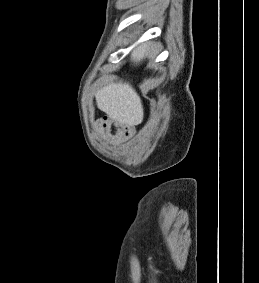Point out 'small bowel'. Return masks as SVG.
Returning <instances> with one entry per match:
<instances>
[{
	"instance_id": "1",
	"label": "small bowel",
	"mask_w": 259,
	"mask_h": 283,
	"mask_svg": "<svg viewBox=\"0 0 259 283\" xmlns=\"http://www.w3.org/2000/svg\"><path fill=\"white\" fill-rule=\"evenodd\" d=\"M96 130L107 140L122 144L132 139L135 133L133 125L118 121L111 116H102L96 120Z\"/></svg>"
}]
</instances>
